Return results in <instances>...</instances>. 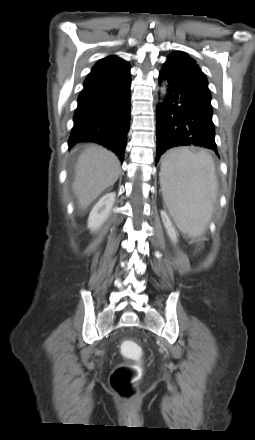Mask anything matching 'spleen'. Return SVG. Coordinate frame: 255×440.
Instances as JSON below:
<instances>
[{
    "label": "spleen",
    "mask_w": 255,
    "mask_h": 440,
    "mask_svg": "<svg viewBox=\"0 0 255 440\" xmlns=\"http://www.w3.org/2000/svg\"><path fill=\"white\" fill-rule=\"evenodd\" d=\"M160 184L178 228L192 237L204 233L217 194L215 166L205 151L173 149L163 158Z\"/></svg>",
    "instance_id": "obj_1"
}]
</instances>
